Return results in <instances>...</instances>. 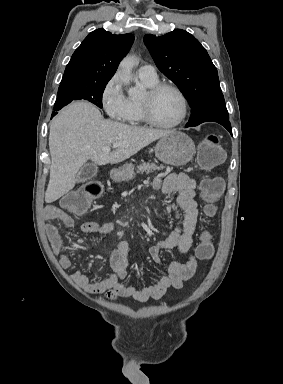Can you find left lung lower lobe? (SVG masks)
<instances>
[{
    "instance_id": "1",
    "label": "left lung lower lobe",
    "mask_w": 283,
    "mask_h": 384,
    "mask_svg": "<svg viewBox=\"0 0 283 384\" xmlns=\"http://www.w3.org/2000/svg\"><path fill=\"white\" fill-rule=\"evenodd\" d=\"M214 122H217V123L221 124L222 126H224L230 132V134L232 135V128H231V124H230L229 121L217 120V121H214Z\"/></svg>"
}]
</instances>
